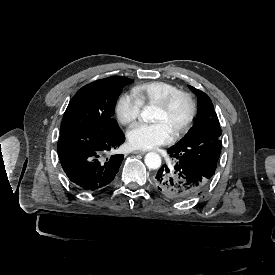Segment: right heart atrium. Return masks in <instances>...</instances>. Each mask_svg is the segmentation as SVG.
I'll use <instances>...</instances> for the list:
<instances>
[{
  "label": "right heart atrium",
  "mask_w": 275,
  "mask_h": 275,
  "mask_svg": "<svg viewBox=\"0 0 275 275\" xmlns=\"http://www.w3.org/2000/svg\"><path fill=\"white\" fill-rule=\"evenodd\" d=\"M142 107V101L133 92H128L119 97L115 110L121 123L131 125L139 117Z\"/></svg>",
  "instance_id": "d8ad5b80"
}]
</instances>
